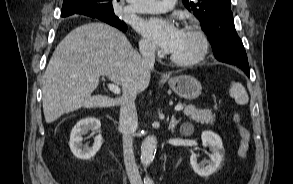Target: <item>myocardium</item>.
Segmentation results:
<instances>
[{
  "label": "myocardium",
  "instance_id": "f54148a6",
  "mask_svg": "<svg viewBox=\"0 0 293 184\" xmlns=\"http://www.w3.org/2000/svg\"><path fill=\"white\" fill-rule=\"evenodd\" d=\"M183 31H191L197 35L200 41V49L198 53L189 59H180L170 55V60L179 66H193L205 59L210 50V38L206 31L198 24L191 23L184 26Z\"/></svg>",
  "mask_w": 293,
  "mask_h": 184
}]
</instances>
